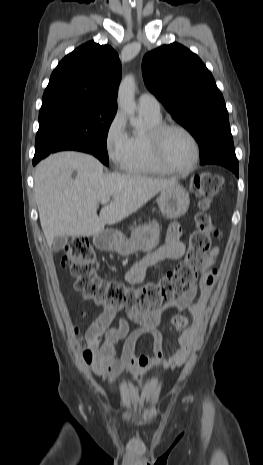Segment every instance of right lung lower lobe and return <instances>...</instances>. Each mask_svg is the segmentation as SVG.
Returning a JSON list of instances; mask_svg holds the SVG:
<instances>
[{
	"label": "right lung lower lobe",
	"mask_w": 263,
	"mask_h": 465,
	"mask_svg": "<svg viewBox=\"0 0 263 465\" xmlns=\"http://www.w3.org/2000/svg\"><path fill=\"white\" fill-rule=\"evenodd\" d=\"M61 150H77V151H82V152H86V153H89L88 151L82 149L81 147H78V146H74V145H69V146H64L63 148L59 149V150H56L54 152H57V151H61ZM53 153V152H51ZM50 154V153H49ZM48 154V155H49ZM43 159V158H42ZM41 159H33V165H35L36 163H38Z\"/></svg>",
	"instance_id": "98d812e1"
}]
</instances>
